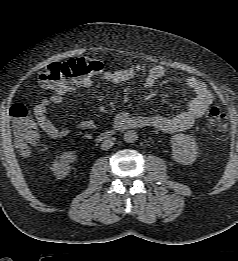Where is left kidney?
<instances>
[{
  "mask_svg": "<svg viewBox=\"0 0 238 261\" xmlns=\"http://www.w3.org/2000/svg\"><path fill=\"white\" fill-rule=\"evenodd\" d=\"M172 158L183 165L192 164L199 156L195 139L186 134H176L171 137Z\"/></svg>",
  "mask_w": 238,
  "mask_h": 261,
  "instance_id": "obj_1",
  "label": "left kidney"
}]
</instances>
